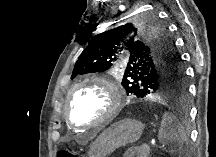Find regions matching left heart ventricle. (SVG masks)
Segmentation results:
<instances>
[{
	"mask_svg": "<svg viewBox=\"0 0 216 157\" xmlns=\"http://www.w3.org/2000/svg\"><path fill=\"white\" fill-rule=\"evenodd\" d=\"M108 106L106 91L95 85H87L73 93L70 112L77 123L86 124L98 119Z\"/></svg>",
	"mask_w": 216,
	"mask_h": 157,
	"instance_id": "obj_1",
	"label": "left heart ventricle"
}]
</instances>
